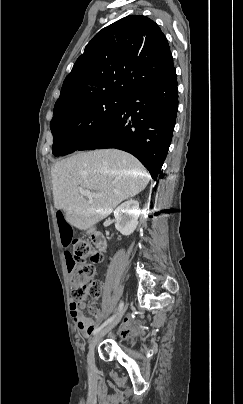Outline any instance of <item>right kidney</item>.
<instances>
[{"instance_id": "obj_1", "label": "right kidney", "mask_w": 243, "mask_h": 404, "mask_svg": "<svg viewBox=\"0 0 243 404\" xmlns=\"http://www.w3.org/2000/svg\"><path fill=\"white\" fill-rule=\"evenodd\" d=\"M139 214L138 202H133V200L118 206L114 212L116 230H119L123 236L133 234L138 226Z\"/></svg>"}]
</instances>
